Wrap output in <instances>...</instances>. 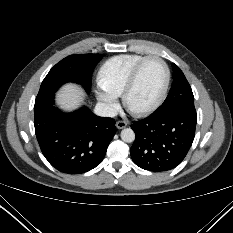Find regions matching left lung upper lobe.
Wrapping results in <instances>:
<instances>
[{"mask_svg":"<svg viewBox=\"0 0 233 233\" xmlns=\"http://www.w3.org/2000/svg\"><path fill=\"white\" fill-rule=\"evenodd\" d=\"M177 107H194V96L183 72L173 63L172 87L167 98L155 113H163Z\"/></svg>","mask_w":233,"mask_h":233,"instance_id":"left-lung-upper-lobe-1","label":"left lung upper lobe"}]
</instances>
